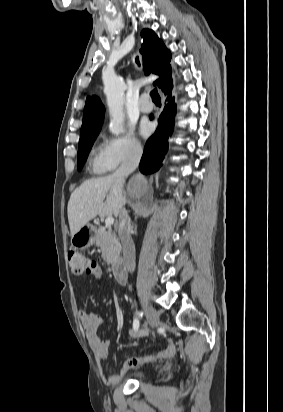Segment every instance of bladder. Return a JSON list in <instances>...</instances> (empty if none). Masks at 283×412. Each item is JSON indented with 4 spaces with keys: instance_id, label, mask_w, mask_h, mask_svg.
Returning a JSON list of instances; mask_svg holds the SVG:
<instances>
[{
    "instance_id": "1",
    "label": "bladder",
    "mask_w": 283,
    "mask_h": 412,
    "mask_svg": "<svg viewBox=\"0 0 283 412\" xmlns=\"http://www.w3.org/2000/svg\"><path fill=\"white\" fill-rule=\"evenodd\" d=\"M145 376V371L143 369H136L133 370L125 375H123L122 379L123 380H135L139 381L143 379Z\"/></svg>"
}]
</instances>
